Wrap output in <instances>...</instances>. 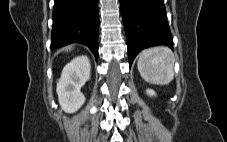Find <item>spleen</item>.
Returning a JSON list of instances; mask_svg holds the SVG:
<instances>
[{"mask_svg":"<svg viewBox=\"0 0 227 142\" xmlns=\"http://www.w3.org/2000/svg\"><path fill=\"white\" fill-rule=\"evenodd\" d=\"M172 51L163 46L148 48L139 54L137 67L141 77L151 84L166 85L174 78Z\"/></svg>","mask_w":227,"mask_h":142,"instance_id":"spleen-1","label":"spleen"}]
</instances>
